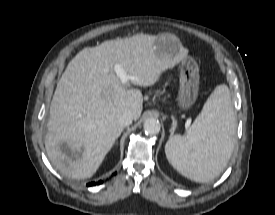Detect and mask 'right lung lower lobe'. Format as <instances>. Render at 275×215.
I'll return each mask as SVG.
<instances>
[{"mask_svg": "<svg viewBox=\"0 0 275 215\" xmlns=\"http://www.w3.org/2000/svg\"><path fill=\"white\" fill-rule=\"evenodd\" d=\"M101 183H102V181H99V182H97V183L91 182V183L88 184V186H94V185H96V184H101Z\"/></svg>", "mask_w": 275, "mask_h": 215, "instance_id": "98d812e1", "label": "right lung lower lobe"}]
</instances>
